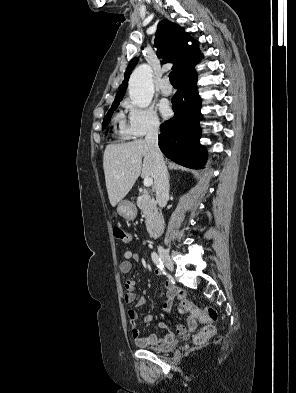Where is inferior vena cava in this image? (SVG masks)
Segmentation results:
<instances>
[{"label": "inferior vena cava", "instance_id": "1", "mask_svg": "<svg viewBox=\"0 0 296 393\" xmlns=\"http://www.w3.org/2000/svg\"><path fill=\"white\" fill-rule=\"evenodd\" d=\"M159 123H154L145 137L147 146L150 148L154 160V186L156 201L159 207H165L169 198V181L167 167L162 152L158 145Z\"/></svg>", "mask_w": 296, "mask_h": 393}]
</instances>
